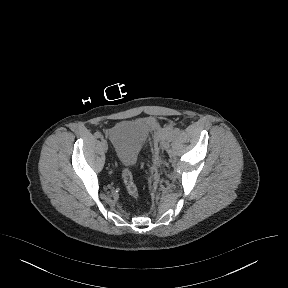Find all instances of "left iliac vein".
<instances>
[{
	"instance_id": "4c4485c4",
	"label": "left iliac vein",
	"mask_w": 288,
	"mask_h": 288,
	"mask_svg": "<svg viewBox=\"0 0 288 288\" xmlns=\"http://www.w3.org/2000/svg\"><path fill=\"white\" fill-rule=\"evenodd\" d=\"M167 144H168V140L167 139H164L163 141H162V148H166L167 147Z\"/></svg>"
}]
</instances>
